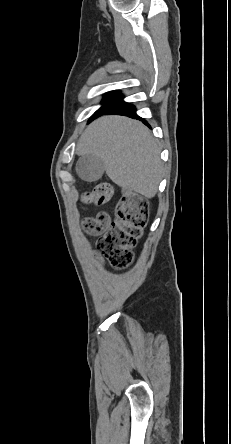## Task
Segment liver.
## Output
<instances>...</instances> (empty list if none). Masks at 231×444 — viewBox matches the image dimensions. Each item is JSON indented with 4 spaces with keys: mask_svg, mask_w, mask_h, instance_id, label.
Listing matches in <instances>:
<instances>
[{
    "mask_svg": "<svg viewBox=\"0 0 231 444\" xmlns=\"http://www.w3.org/2000/svg\"><path fill=\"white\" fill-rule=\"evenodd\" d=\"M77 154L101 158L106 174L116 185L152 198L162 179L160 148L149 129L123 116L94 121L78 141Z\"/></svg>",
    "mask_w": 231,
    "mask_h": 444,
    "instance_id": "1",
    "label": "liver"
}]
</instances>
